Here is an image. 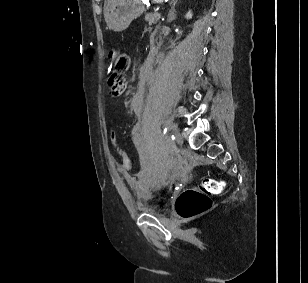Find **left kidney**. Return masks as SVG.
<instances>
[{
	"mask_svg": "<svg viewBox=\"0 0 308 283\" xmlns=\"http://www.w3.org/2000/svg\"><path fill=\"white\" fill-rule=\"evenodd\" d=\"M192 11L191 10H189L187 13H186V15H185V17H186V19H191L192 18Z\"/></svg>",
	"mask_w": 308,
	"mask_h": 283,
	"instance_id": "1",
	"label": "left kidney"
}]
</instances>
